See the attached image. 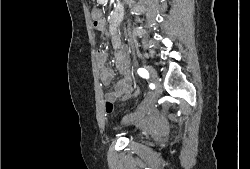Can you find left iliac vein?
I'll list each match as a JSON object with an SVG mask.
<instances>
[{
	"label": "left iliac vein",
	"instance_id": "1",
	"mask_svg": "<svg viewBox=\"0 0 250 169\" xmlns=\"http://www.w3.org/2000/svg\"><path fill=\"white\" fill-rule=\"evenodd\" d=\"M148 72L153 80L154 84L156 85L155 91L151 94L149 100L147 101L146 105L134 113L124 116L122 122L123 123H131L136 119L142 117L152 106H154L159 93H160V80L157 71L153 67H148Z\"/></svg>",
	"mask_w": 250,
	"mask_h": 169
}]
</instances>
